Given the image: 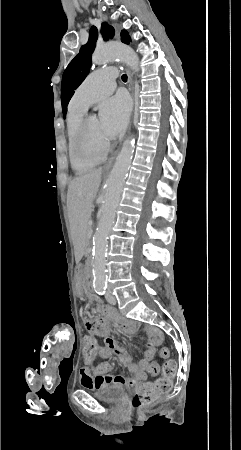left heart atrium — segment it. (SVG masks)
I'll return each mask as SVG.
<instances>
[{
	"mask_svg": "<svg viewBox=\"0 0 241 450\" xmlns=\"http://www.w3.org/2000/svg\"><path fill=\"white\" fill-rule=\"evenodd\" d=\"M105 106L111 114L109 130L113 137H117L123 133L129 121L131 101L126 94L120 93L109 100Z\"/></svg>",
	"mask_w": 241,
	"mask_h": 450,
	"instance_id": "39dd6f15",
	"label": "left heart atrium"
}]
</instances>
